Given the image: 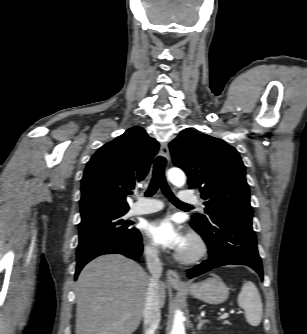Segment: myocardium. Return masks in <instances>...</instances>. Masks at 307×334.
<instances>
[{
	"mask_svg": "<svg viewBox=\"0 0 307 334\" xmlns=\"http://www.w3.org/2000/svg\"><path fill=\"white\" fill-rule=\"evenodd\" d=\"M186 243L190 245V250L185 251L182 249L175 256L176 259L182 263H195L202 259L208 251L206 241L199 233L195 231L188 233Z\"/></svg>",
	"mask_w": 307,
	"mask_h": 334,
	"instance_id": "obj_1",
	"label": "myocardium"
}]
</instances>
